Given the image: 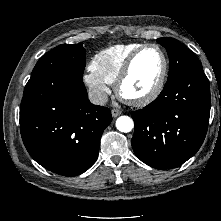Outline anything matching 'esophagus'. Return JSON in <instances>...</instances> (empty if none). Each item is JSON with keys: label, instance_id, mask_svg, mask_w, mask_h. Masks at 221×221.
Here are the masks:
<instances>
[{"label": "esophagus", "instance_id": "esophagus-1", "mask_svg": "<svg viewBox=\"0 0 221 221\" xmlns=\"http://www.w3.org/2000/svg\"><path fill=\"white\" fill-rule=\"evenodd\" d=\"M111 113H112V116L114 117V118H116L117 116H119V115H121V110H119V109H112L111 110Z\"/></svg>", "mask_w": 221, "mask_h": 221}]
</instances>
